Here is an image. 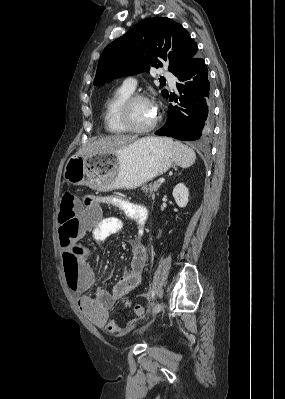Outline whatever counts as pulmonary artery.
Masks as SVG:
<instances>
[{
  "label": "pulmonary artery",
  "instance_id": "pulmonary-artery-1",
  "mask_svg": "<svg viewBox=\"0 0 285 399\" xmlns=\"http://www.w3.org/2000/svg\"><path fill=\"white\" fill-rule=\"evenodd\" d=\"M163 76L170 82V86L172 88L175 87V78L173 77V75L170 72L164 71ZM122 87H124L127 90L133 92L136 89V87H137V81L133 77L126 78L122 82Z\"/></svg>",
  "mask_w": 285,
  "mask_h": 399
}]
</instances>
